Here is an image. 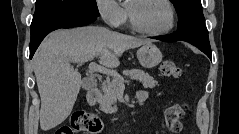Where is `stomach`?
<instances>
[{
  "mask_svg": "<svg viewBox=\"0 0 239 134\" xmlns=\"http://www.w3.org/2000/svg\"><path fill=\"white\" fill-rule=\"evenodd\" d=\"M137 58L144 68H154L162 61V53L152 42L144 44L137 51Z\"/></svg>",
  "mask_w": 239,
  "mask_h": 134,
  "instance_id": "0dacf381",
  "label": "stomach"
}]
</instances>
